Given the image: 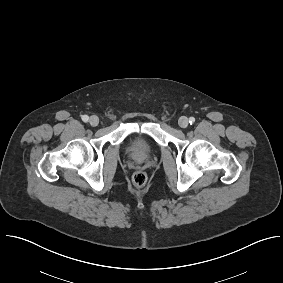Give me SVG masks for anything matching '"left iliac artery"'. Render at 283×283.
<instances>
[{"label":"left iliac artery","instance_id":"1","mask_svg":"<svg viewBox=\"0 0 283 283\" xmlns=\"http://www.w3.org/2000/svg\"><path fill=\"white\" fill-rule=\"evenodd\" d=\"M194 122H195V118H194V117H190V118H189V123H190V124H193Z\"/></svg>","mask_w":283,"mask_h":283}]
</instances>
